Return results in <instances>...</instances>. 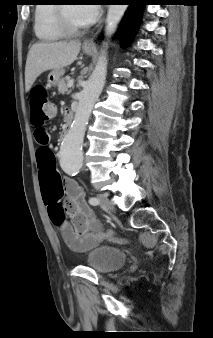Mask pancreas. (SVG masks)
Returning <instances> with one entry per match:
<instances>
[{"instance_id": "cf45deb5", "label": "pancreas", "mask_w": 213, "mask_h": 338, "mask_svg": "<svg viewBox=\"0 0 213 338\" xmlns=\"http://www.w3.org/2000/svg\"><path fill=\"white\" fill-rule=\"evenodd\" d=\"M68 78H62L58 83V92L65 94L68 91Z\"/></svg>"}]
</instances>
